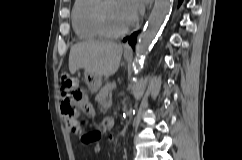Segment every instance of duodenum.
Instances as JSON below:
<instances>
[{"label":"duodenum","mask_w":242,"mask_h":160,"mask_svg":"<svg viewBox=\"0 0 242 160\" xmlns=\"http://www.w3.org/2000/svg\"><path fill=\"white\" fill-rule=\"evenodd\" d=\"M103 126L107 130H111L115 126V120L113 118H105L103 122Z\"/></svg>","instance_id":"obj_1"}]
</instances>
